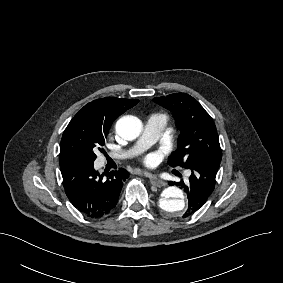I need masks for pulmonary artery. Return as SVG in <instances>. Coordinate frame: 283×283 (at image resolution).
<instances>
[{"mask_svg":"<svg viewBox=\"0 0 283 283\" xmlns=\"http://www.w3.org/2000/svg\"><path fill=\"white\" fill-rule=\"evenodd\" d=\"M167 123V117L164 114H152L145 123L143 133L137 143L128 151L121 153H112L111 157L115 159L129 158L138 154L150 144L154 143L161 136Z\"/></svg>","mask_w":283,"mask_h":283,"instance_id":"obj_1","label":"pulmonary artery"}]
</instances>
